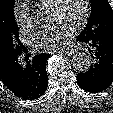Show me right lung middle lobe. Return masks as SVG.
Segmentation results:
<instances>
[{"mask_svg":"<svg viewBox=\"0 0 113 113\" xmlns=\"http://www.w3.org/2000/svg\"><path fill=\"white\" fill-rule=\"evenodd\" d=\"M14 0H0V67L2 69L25 47L19 39V28L14 17Z\"/></svg>","mask_w":113,"mask_h":113,"instance_id":"obj_1","label":"right lung middle lobe"}]
</instances>
